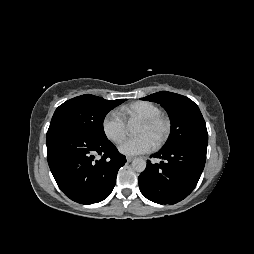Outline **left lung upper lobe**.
Segmentation results:
<instances>
[{"label":"left lung upper lobe","instance_id":"1","mask_svg":"<svg viewBox=\"0 0 254 254\" xmlns=\"http://www.w3.org/2000/svg\"><path fill=\"white\" fill-rule=\"evenodd\" d=\"M142 100L161 104L170 117L171 134L162 150L190 142L208 144L205 121L198 106L191 99L176 93L161 91Z\"/></svg>","mask_w":254,"mask_h":254}]
</instances>
